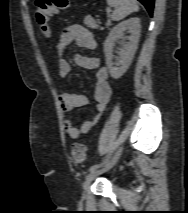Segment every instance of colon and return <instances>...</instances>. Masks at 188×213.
<instances>
[{"label":"colon","mask_w":188,"mask_h":213,"mask_svg":"<svg viewBox=\"0 0 188 213\" xmlns=\"http://www.w3.org/2000/svg\"><path fill=\"white\" fill-rule=\"evenodd\" d=\"M70 0H36L35 17L41 32L45 36L50 35V19L60 10L67 9ZM87 148L82 142H75L71 148L72 159L75 162H83L86 158Z\"/></svg>","instance_id":"1"}]
</instances>
